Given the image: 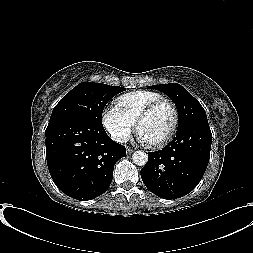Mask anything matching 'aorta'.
Wrapping results in <instances>:
<instances>
[{"instance_id":"aorta-1","label":"aorta","mask_w":253,"mask_h":253,"mask_svg":"<svg viewBox=\"0 0 253 253\" xmlns=\"http://www.w3.org/2000/svg\"><path fill=\"white\" fill-rule=\"evenodd\" d=\"M132 160L134 164L144 166L148 161V155L143 151H136L132 155Z\"/></svg>"}]
</instances>
